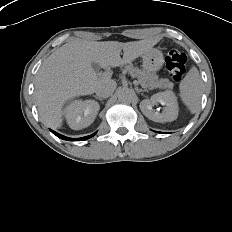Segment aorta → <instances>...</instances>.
Returning <instances> with one entry per match:
<instances>
[{"mask_svg":"<svg viewBox=\"0 0 232 232\" xmlns=\"http://www.w3.org/2000/svg\"><path fill=\"white\" fill-rule=\"evenodd\" d=\"M135 93L129 88H122L118 92V99L124 103H131L134 99Z\"/></svg>","mask_w":232,"mask_h":232,"instance_id":"762f6f07","label":"aorta"}]
</instances>
